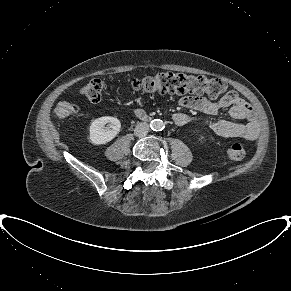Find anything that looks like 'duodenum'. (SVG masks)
Wrapping results in <instances>:
<instances>
[{"instance_id": "obj_1", "label": "duodenum", "mask_w": 291, "mask_h": 291, "mask_svg": "<svg viewBox=\"0 0 291 291\" xmlns=\"http://www.w3.org/2000/svg\"><path fill=\"white\" fill-rule=\"evenodd\" d=\"M135 114H136V116L139 117L140 119H143V120H147V119H149L148 114H147L145 111H143V110H136V111H135Z\"/></svg>"}]
</instances>
